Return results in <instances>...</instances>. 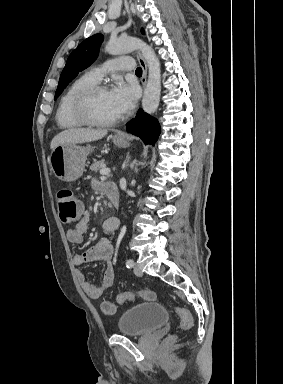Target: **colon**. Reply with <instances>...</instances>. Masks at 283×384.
<instances>
[{
    "label": "colon",
    "instance_id": "obj_1",
    "mask_svg": "<svg viewBox=\"0 0 283 384\" xmlns=\"http://www.w3.org/2000/svg\"><path fill=\"white\" fill-rule=\"evenodd\" d=\"M56 202L59 208V216L63 224L71 225L79 219L80 206L74 193L70 189H59L56 194ZM136 297L146 301H154L156 299V294L152 290H141L136 293L121 292L117 295V302L119 304H126ZM101 308L105 314H113L115 312V305L111 302H103ZM175 312L180 318V329L183 331L189 330L193 326V317L191 313L180 306L175 307Z\"/></svg>",
    "mask_w": 283,
    "mask_h": 384
}]
</instances>
